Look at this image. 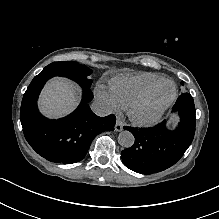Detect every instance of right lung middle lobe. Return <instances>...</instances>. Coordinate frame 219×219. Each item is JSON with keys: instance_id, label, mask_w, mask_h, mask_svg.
I'll use <instances>...</instances> for the list:
<instances>
[{"instance_id": "1", "label": "right lung middle lobe", "mask_w": 219, "mask_h": 219, "mask_svg": "<svg viewBox=\"0 0 219 219\" xmlns=\"http://www.w3.org/2000/svg\"><path fill=\"white\" fill-rule=\"evenodd\" d=\"M42 73H52L54 75L67 76L76 79L80 84L90 87L92 80L89 79L92 71L77 62H53L46 66Z\"/></svg>"}]
</instances>
